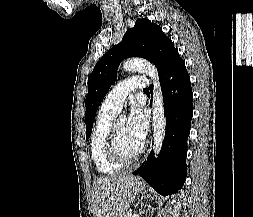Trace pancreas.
Listing matches in <instances>:
<instances>
[{
  "instance_id": "pancreas-1",
  "label": "pancreas",
  "mask_w": 253,
  "mask_h": 217,
  "mask_svg": "<svg viewBox=\"0 0 253 217\" xmlns=\"http://www.w3.org/2000/svg\"><path fill=\"white\" fill-rule=\"evenodd\" d=\"M124 217H129L127 214H125V216Z\"/></svg>"
}]
</instances>
